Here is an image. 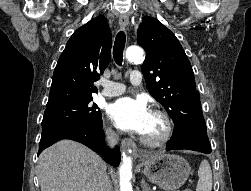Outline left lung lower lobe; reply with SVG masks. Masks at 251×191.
Instances as JSON below:
<instances>
[{"mask_svg":"<svg viewBox=\"0 0 251 191\" xmlns=\"http://www.w3.org/2000/svg\"><path fill=\"white\" fill-rule=\"evenodd\" d=\"M193 150L205 154L211 153V145L206 131L188 130L177 136H172L166 150Z\"/></svg>","mask_w":251,"mask_h":191,"instance_id":"1","label":"left lung lower lobe"}]
</instances>
